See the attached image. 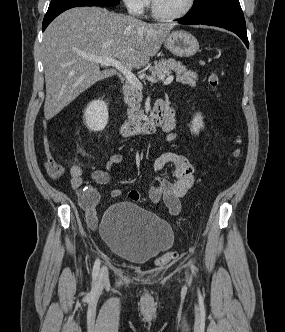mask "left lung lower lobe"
<instances>
[{
  "instance_id": "left-lung-lower-lobe-1",
  "label": "left lung lower lobe",
  "mask_w": 285,
  "mask_h": 332,
  "mask_svg": "<svg viewBox=\"0 0 285 332\" xmlns=\"http://www.w3.org/2000/svg\"><path fill=\"white\" fill-rule=\"evenodd\" d=\"M182 24H203L225 28L237 34L249 47L246 23L241 8L224 9L198 15H187L176 20Z\"/></svg>"
}]
</instances>
